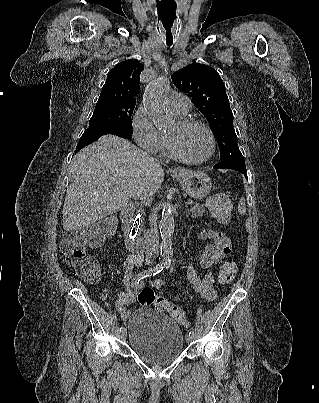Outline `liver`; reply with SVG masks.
Returning <instances> with one entry per match:
<instances>
[{"instance_id":"obj_1","label":"liver","mask_w":319,"mask_h":403,"mask_svg":"<svg viewBox=\"0 0 319 403\" xmlns=\"http://www.w3.org/2000/svg\"><path fill=\"white\" fill-rule=\"evenodd\" d=\"M163 179L158 160L128 140L104 135L72 160L63 228L79 230L121 211L132 195L142 197V192H156Z\"/></svg>"}]
</instances>
